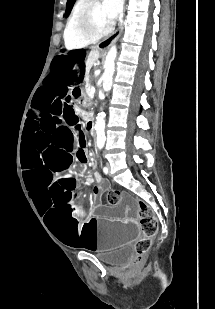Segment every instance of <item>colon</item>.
Here are the masks:
<instances>
[{"label":"colon","mask_w":215,"mask_h":309,"mask_svg":"<svg viewBox=\"0 0 215 309\" xmlns=\"http://www.w3.org/2000/svg\"><path fill=\"white\" fill-rule=\"evenodd\" d=\"M107 202L111 205H117L119 202V192L116 190H111L108 192ZM140 217L142 219L141 224L144 235L134 244V255L136 258H141L146 254L150 248L151 239L157 232V222L149 207H141Z\"/></svg>","instance_id":"1"}]
</instances>
